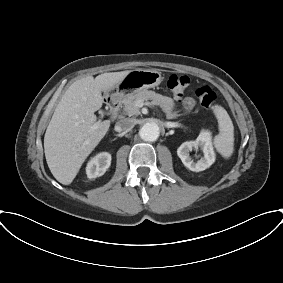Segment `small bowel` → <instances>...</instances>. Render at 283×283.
Masks as SVG:
<instances>
[{
  "instance_id": "1",
  "label": "small bowel",
  "mask_w": 283,
  "mask_h": 283,
  "mask_svg": "<svg viewBox=\"0 0 283 283\" xmlns=\"http://www.w3.org/2000/svg\"><path fill=\"white\" fill-rule=\"evenodd\" d=\"M178 98V97H177ZM182 105L184 107L185 110L190 111L191 109H193L194 105H195V101L193 98L191 97H185L182 100Z\"/></svg>"
}]
</instances>
